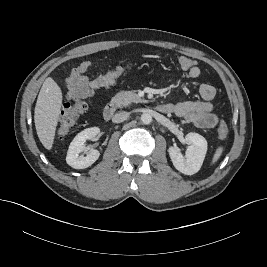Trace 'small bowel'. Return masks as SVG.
Masks as SVG:
<instances>
[{
	"mask_svg": "<svg viewBox=\"0 0 267 267\" xmlns=\"http://www.w3.org/2000/svg\"><path fill=\"white\" fill-rule=\"evenodd\" d=\"M92 69L90 61H83L74 67L65 84L64 99L71 100L75 97L90 98L101 88V75L89 77L87 73ZM201 74L200 68L195 66L188 71V77L195 79ZM216 94L215 88L209 84L199 87L200 101H183L172 106V112L189 123L199 128H213L218 122V117L213 112L212 100Z\"/></svg>",
	"mask_w": 267,
	"mask_h": 267,
	"instance_id": "obj_1",
	"label": "small bowel"
}]
</instances>
